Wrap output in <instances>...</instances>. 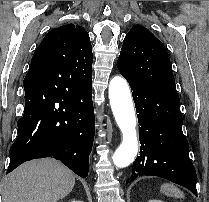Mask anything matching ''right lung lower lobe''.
I'll return each instance as SVG.
<instances>
[{"instance_id": "right-lung-lower-lobe-1", "label": "right lung lower lobe", "mask_w": 209, "mask_h": 202, "mask_svg": "<svg viewBox=\"0 0 209 202\" xmlns=\"http://www.w3.org/2000/svg\"><path fill=\"white\" fill-rule=\"evenodd\" d=\"M23 85L25 109L7 173L23 162L52 157L85 178L95 134L92 83L62 85L48 72L30 67Z\"/></svg>"}]
</instances>
